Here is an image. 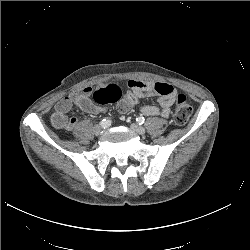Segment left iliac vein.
I'll use <instances>...</instances> for the list:
<instances>
[{
    "mask_svg": "<svg viewBox=\"0 0 250 250\" xmlns=\"http://www.w3.org/2000/svg\"><path fill=\"white\" fill-rule=\"evenodd\" d=\"M131 129L136 132L139 135H144L146 133L145 128H143L142 126L138 125V124H131L130 125Z\"/></svg>",
    "mask_w": 250,
    "mask_h": 250,
    "instance_id": "4c4485c4",
    "label": "left iliac vein"
}]
</instances>
